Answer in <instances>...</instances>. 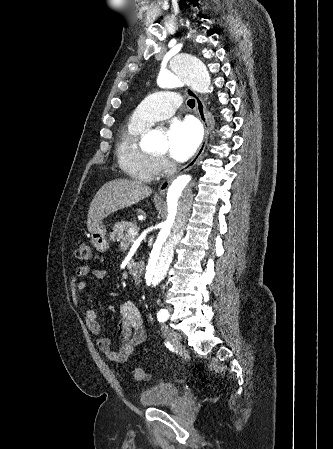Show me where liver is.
<instances>
[{"mask_svg":"<svg viewBox=\"0 0 333 449\" xmlns=\"http://www.w3.org/2000/svg\"><path fill=\"white\" fill-rule=\"evenodd\" d=\"M151 193L150 187L134 180L115 179L105 183L90 204L88 230L91 232L108 215L138 203Z\"/></svg>","mask_w":333,"mask_h":449,"instance_id":"obj_1","label":"liver"}]
</instances>
